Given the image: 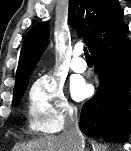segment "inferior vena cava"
I'll return each mask as SVG.
<instances>
[{
    "instance_id": "602c4592",
    "label": "inferior vena cava",
    "mask_w": 131,
    "mask_h": 151,
    "mask_svg": "<svg viewBox=\"0 0 131 151\" xmlns=\"http://www.w3.org/2000/svg\"><path fill=\"white\" fill-rule=\"evenodd\" d=\"M62 137L73 146V151H84V137L79 129L77 112L73 108L68 109Z\"/></svg>"
}]
</instances>
